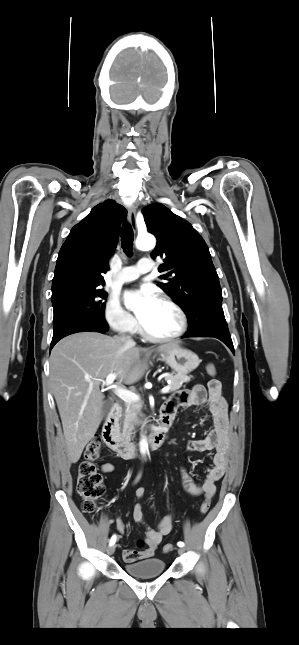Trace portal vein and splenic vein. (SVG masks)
I'll list each match as a JSON object with an SVG mask.
<instances>
[{
    "label": "portal vein and splenic vein",
    "mask_w": 299,
    "mask_h": 645,
    "mask_svg": "<svg viewBox=\"0 0 299 645\" xmlns=\"http://www.w3.org/2000/svg\"><path fill=\"white\" fill-rule=\"evenodd\" d=\"M116 377H117V375L112 373V374H109L106 377L105 381L101 380V382L103 383V385H106L108 388L113 389L115 395H117L123 401H125V402H137V401H139L140 397L137 394H135L133 392H130V391H127V390H125V389H123L121 387H118V386L113 384V382L116 379ZM169 390H170V387L168 385V386H165L164 388H162L161 392L163 394H165Z\"/></svg>",
    "instance_id": "obj_1"
}]
</instances>
